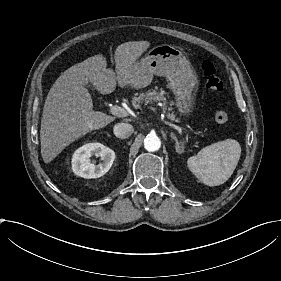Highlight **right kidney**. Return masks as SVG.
Masks as SVG:
<instances>
[{"label": "right kidney", "instance_id": "right-kidney-1", "mask_svg": "<svg viewBox=\"0 0 281 281\" xmlns=\"http://www.w3.org/2000/svg\"><path fill=\"white\" fill-rule=\"evenodd\" d=\"M100 157L102 162L91 163V156ZM115 160V152L101 143H88L78 148L72 155V170L83 178H99L109 171Z\"/></svg>", "mask_w": 281, "mask_h": 281}]
</instances>
